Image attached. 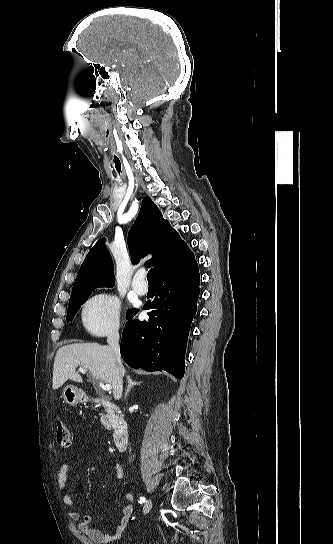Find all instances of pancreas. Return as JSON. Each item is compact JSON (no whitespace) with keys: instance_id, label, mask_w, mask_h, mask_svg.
Segmentation results:
<instances>
[{"instance_id":"1","label":"pancreas","mask_w":333,"mask_h":544,"mask_svg":"<svg viewBox=\"0 0 333 544\" xmlns=\"http://www.w3.org/2000/svg\"><path fill=\"white\" fill-rule=\"evenodd\" d=\"M111 414H101V423L107 428V430L111 429Z\"/></svg>"}]
</instances>
